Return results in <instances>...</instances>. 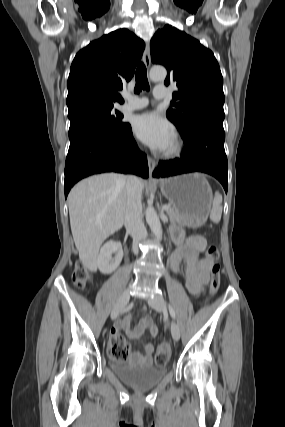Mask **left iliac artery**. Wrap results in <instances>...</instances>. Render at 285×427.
Wrapping results in <instances>:
<instances>
[{"label":"left iliac artery","instance_id":"1","mask_svg":"<svg viewBox=\"0 0 285 427\" xmlns=\"http://www.w3.org/2000/svg\"><path fill=\"white\" fill-rule=\"evenodd\" d=\"M169 311H170L171 316H172L173 318H175V317H176V314H175V311H174V309H173V307H172L171 305H169Z\"/></svg>","mask_w":285,"mask_h":427}]
</instances>
